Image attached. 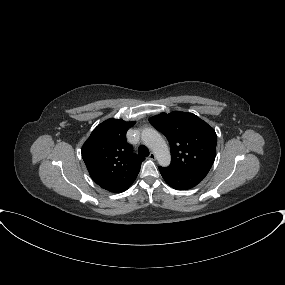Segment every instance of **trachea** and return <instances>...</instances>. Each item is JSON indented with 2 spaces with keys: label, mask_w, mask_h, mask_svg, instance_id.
Listing matches in <instances>:
<instances>
[{
  "label": "trachea",
  "mask_w": 285,
  "mask_h": 285,
  "mask_svg": "<svg viewBox=\"0 0 285 285\" xmlns=\"http://www.w3.org/2000/svg\"><path fill=\"white\" fill-rule=\"evenodd\" d=\"M138 154L139 156L146 157L149 155V150L145 146L141 145L138 148Z\"/></svg>",
  "instance_id": "trachea-1"
}]
</instances>
